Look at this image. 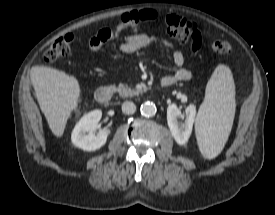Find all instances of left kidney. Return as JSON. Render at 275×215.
<instances>
[{"label": "left kidney", "mask_w": 275, "mask_h": 215, "mask_svg": "<svg viewBox=\"0 0 275 215\" xmlns=\"http://www.w3.org/2000/svg\"><path fill=\"white\" fill-rule=\"evenodd\" d=\"M185 113L186 120L184 123H180L178 118L181 115V110L175 104H171L167 108V123L172 136L179 145L185 144L191 135L196 107L193 104L189 105L185 109Z\"/></svg>", "instance_id": "5707ae66"}]
</instances>
